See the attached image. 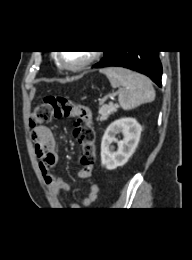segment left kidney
Masks as SVG:
<instances>
[{"mask_svg": "<svg viewBox=\"0 0 192 260\" xmlns=\"http://www.w3.org/2000/svg\"><path fill=\"white\" fill-rule=\"evenodd\" d=\"M142 127L134 118H121L106 129L101 142V163L108 170H114L127 163L135 152L140 140ZM123 139L118 140L117 135ZM113 143H117V149Z\"/></svg>", "mask_w": 192, "mask_h": 260, "instance_id": "5707ae66", "label": "left kidney"}]
</instances>
